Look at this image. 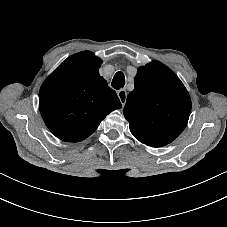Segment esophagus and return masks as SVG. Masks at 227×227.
I'll return each mask as SVG.
<instances>
[{"mask_svg": "<svg viewBox=\"0 0 227 227\" xmlns=\"http://www.w3.org/2000/svg\"><path fill=\"white\" fill-rule=\"evenodd\" d=\"M117 95H118V98L122 104V109L126 103V100H127V92L125 89H120L117 91Z\"/></svg>", "mask_w": 227, "mask_h": 227, "instance_id": "obj_1", "label": "esophagus"}]
</instances>
